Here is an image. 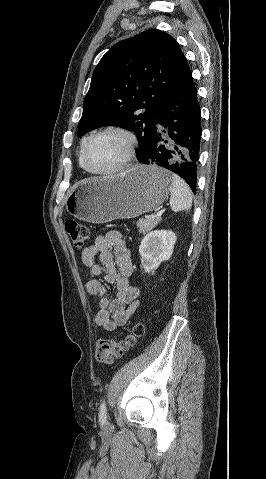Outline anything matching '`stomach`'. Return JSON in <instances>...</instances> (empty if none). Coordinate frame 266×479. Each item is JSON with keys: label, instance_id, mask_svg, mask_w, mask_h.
Returning <instances> with one entry per match:
<instances>
[{"label": "stomach", "instance_id": "0dacf381", "mask_svg": "<svg viewBox=\"0 0 266 479\" xmlns=\"http://www.w3.org/2000/svg\"><path fill=\"white\" fill-rule=\"evenodd\" d=\"M172 176L156 165H136L108 178L73 186L65 207L74 217L95 224L130 219L158 208L167 198Z\"/></svg>", "mask_w": 266, "mask_h": 479}]
</instances>
